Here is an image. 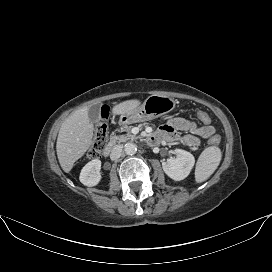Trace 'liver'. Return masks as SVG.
<instances>
[{
  "mask_svg": "<svg viewBox=\"0 0 272 272\" xmlns=\"http://www.w3.org/2000/svg\"><path fill=\"white\" fill-rule=\"evenodd\" d=\"M138 99L126 100L112 108L113 115H120L131 111L140 105ZM88 108L74 111L61 125L56 151L59 163L68 173L74 163L81 158L92 143L93 124L88 117Z\"/></svg>",
  "mask_w": 272,
  "mask_h": 272,
  "instance_id": "1",
  "label": "liver"
}]
</instances>
